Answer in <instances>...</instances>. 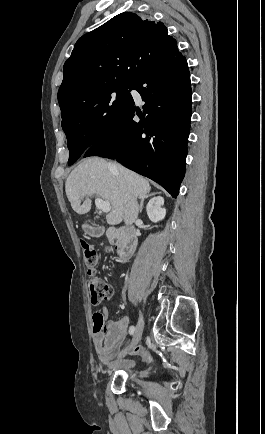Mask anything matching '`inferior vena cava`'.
Returning <instances> with one entry per match:
<instances>
[{"label": "inferior vena cava", "instance_id": "602c4592", "mask_svg": "<svg viewBox=\"0 0 265 434\" xmlns=\"http://www.w3.org/2000/svg\"><path fill=\"white\" fill-rule=\"evenodd\" d=\"M121 188L125 190L126 184H123V182H121ZM138 212L139 206L136 202V198H133V196H128L124 210V222L126 226H130V224H133V222L137 220Z\"/></svg>", "mask_w": 265, "mask_h": 434}]
</instances>
